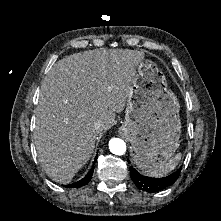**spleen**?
<instances>
[{"mask_svg": "<svg viewBox=\"0 0 221 221\" xmlns=\"http://www.w3.org/2000/svg\"><path fill=\"white\" fill-rule=\"evenodd\" d=\"M180 159H181V154L178 153L175 155L173 159L169 160L164 165L158 167L157 169L147 171V173L153 177H162L167 173H169L170 171L174 170L178 165Z\"/></svg>", "mask_w": 221, "mask_h": 221, "instance_id": "3e777b00", "label": "spleen"}]
</instances>
